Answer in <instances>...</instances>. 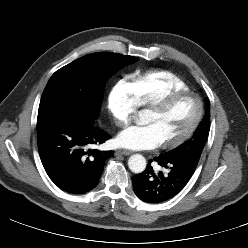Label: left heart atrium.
Returning a JSON list of instances; mask_svg holds the SVG:
<instances>
[{"label": "left heart atrium", "instance_id": "obj_1", "mask_svg": "<svg viewBox=\"0 0 248 248\" xmlns=\"http://www.w3.org/2000/svg\"><path fill=\"white\" fill-rule=\"evenodd\" d=\"M116 143L128 149L145 150L159 146L161 141L155 128L150 124H144L121 131L116 138Z\"/></svg>", "mask_w": 248, "mask_h": 248}]
</instances>
